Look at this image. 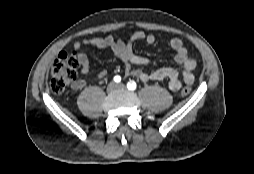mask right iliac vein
Listing matches in <instances>:
<instances>
[{
	"label": "right iliac vein",
	"instance_id": "right-iliac-vein-1",
	"mask_svg": "<svg viewBox=\"0 0 254 174\" xmlns=\"http://www.w3.org/2000/svg\"><path fill=\"white\" fill-rule=\"evenodd\" d=\"M116 89L115 83H110L107 87L108 92H113Z\"/></svg>",
	"mask_w": 254,
	"mask_h": 174
}]
</instances>
